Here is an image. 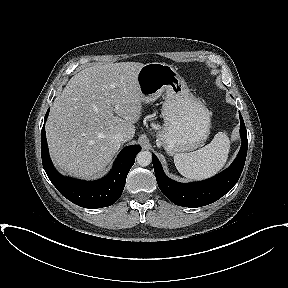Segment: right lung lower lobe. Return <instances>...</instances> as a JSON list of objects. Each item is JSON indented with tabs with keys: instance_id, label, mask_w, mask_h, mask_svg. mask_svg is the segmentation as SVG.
<instances>
[{
	"instance_id": "98d812e1",
	"label": "right lung lower lobe",
	"mask_w": 288,
	"mask_h": 288,
	"mask_svg": "<svg viewBox=\"0 0 288 288\" xmlns=\"http://www.w3.org/2000/svg\"><path fill=\"white\" fill-rule=\"evenodd\" d=\"M49 109L45 115L47 119ZM139 145L125 147L118 155L112 170L104 178L85 182L62 176L54 168L48 152L45 126L41 131V155L44 170L56 189L72 203L90 209L112 205L121 196L127 174L134 164Z\"/></svg>"
}]
</instances>
